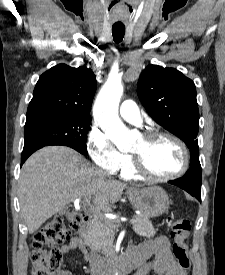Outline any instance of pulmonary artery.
<instances>
[{"label": "pulmonary artery", "instance_id": "obj_1", "mask_svg": "<svg viewBox=\"0 0 225 275\" xmlns=\"http://www.w3.org/2000/svg\"><path fill=\"white\" fill-rule=\"evenodd\" d=\"M119 113L123 119L133 124H140L142 122L139 108L132 99H126L122 102Z\"/></svg>", "mask_w": 225, "mask_h": 275}]
</instances>
